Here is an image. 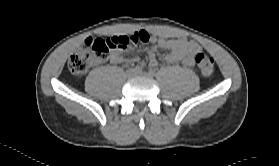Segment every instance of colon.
I'll return each mask as SVG.
<instances>
[{
	"instance_id": "5ec220e1",
	"label": "colon",
	"mask_w": 279,
	"mask_h": 166,
	"mask_svg": "<svg viewBox=\"0 0 279 166\" xmlns=\"http://www.w3.org/2000/svg\"><path fill=\"white\" fill-rule=\"evenodd\" d=\"M137 40L129 36L111 38H87L83 46L68 60V68L75 75L85 73L90 67L105 62L110 51L117 48H127ZM144 41V37H142ZM199 71L209 76L214 71V59L209 54L200 52L195 56Z\"/></svg>"
}]
</instances>
